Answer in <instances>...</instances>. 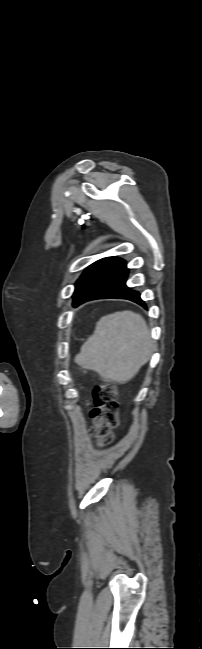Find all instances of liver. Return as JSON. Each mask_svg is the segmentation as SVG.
I'll return each mask as SVG.
<instances>
[{"label":"liver","mask_w":202,"mask_h":649,"mask_svg":"<svg viewBox=\"0 0 202 649\" xmlns=\"http://www.w3.org/2000/svg\"><path fill=\"white\" fill-rule=\"evenodd\" d=\"M153 341L143 317L121 311L102 317L75 362L100 377L125 384L149 360Z\"/></svg>","instance_id":"6515ba94"}]
</instances>
